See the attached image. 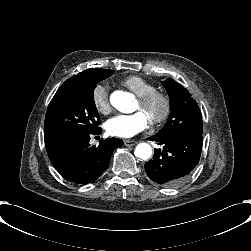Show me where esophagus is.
I'll return each instance as SVG.
<instances>
[{
    "instance_id": "34e87169",
    "label": "esophagus",
    "mask_w": 251,
    "mask_h": 251,
    "mask_svg": "<svg viewBox=\"0 0 251 251\" xmlns=\"http://www.w3.org/2000/svg\"><path fill=\"white\" fill-rule=\"evenodd\" d=\"M138 142L134 141V140H124V144L125 146H134L136 145Z\"/></svg>"
}]
</instances>
